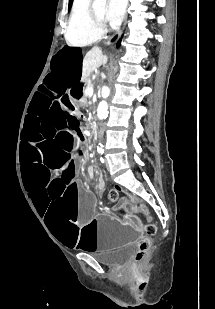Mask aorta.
Here are the masks:
<instances>
[{
	"label": "aorta",
	"mask_w": 215,
	"mask_h": 309,
	"mask_svg": "<svg viewBox=\"0 0 215 309\" xmlns=\"http://www.w3.org/2000/svg\"><path fill=\"white\" fill-rule=\"evenodd\" d=\"M94 6H97V8H104L106 4V0H93ZM110 92L109 86H103L102 88V96L103 98H107L108 94ZM97 116L102 120V118H106L108 116V102L107 100H101L98 104L97 108Z\"/></svg>",
	"instance_id": "aorta-1"
}]
</instances>
